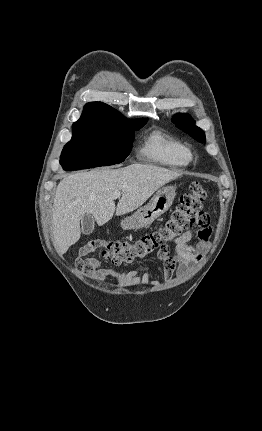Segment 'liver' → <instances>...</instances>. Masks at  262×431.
<instances>
[{
    "label": "liver",
    "mask_w": 262,
    "mask_h": 431,
    "mask_svg": "<svg viewBox=\"0 0 262 431\" xmlns=\"http://www.w3.org/2000/svg\"><path fill=\"white\" fill-rule=\"evenodd\" d=\"M182 175L163 167L132 164L119 169H96L66 176L57 186L52 233L59 255L67 252L81 236L80 220L93 215L99 226L142 206L152 194ZM121 192L115 205L112 194Z\"/></svg>",
    "instance_id": "6515ba94"
}]
</instances>
